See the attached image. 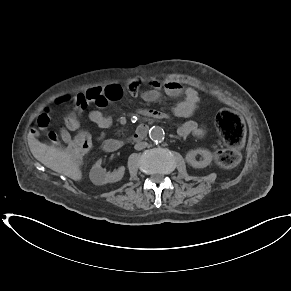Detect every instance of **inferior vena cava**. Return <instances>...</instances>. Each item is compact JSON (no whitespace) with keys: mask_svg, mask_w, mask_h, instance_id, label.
I'll list each match as a JSON object with an SVG mask.
<instances>
[{"mask_svg":"<svg viewBox=\"0 0 291 291\" xmlns=\"http://www.w3.org/2000/svg\"><path fill=\"white\" fill-rule=\"evenodd\" d=\"M147 145H148L147 142H137L135 144L134 148L139 151V150H142V149L146 148Z\"/></svg>","mask_w":291,"mask_h":291,"instance_id":"inferior-vena-cava-1","label":"inferior vena cava"}]
</instances>
